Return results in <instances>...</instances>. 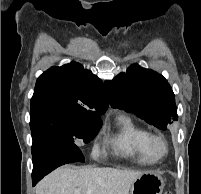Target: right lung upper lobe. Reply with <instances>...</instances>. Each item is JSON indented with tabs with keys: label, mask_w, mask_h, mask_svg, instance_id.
Masks as SVG:
<instances>
[{
	"label": "right lung upper lobe",
	"mask_w": 201,
	"mask_h": 194,
	"mask_svg": "<svg viewBox=\"0 0 201 194\" xmlns=\"http://www.w3.org/2000/svg\"><path fill=\"white\" fill-rule=\"evenodd\" d=\"M106 97L102 81L79 63L72 62L61 67L53 66L40 75L31 106L54 102L64 105L75 116L98 118L108 107Z\"/></svg>",
	"instance_id": "obj_1"
}]
</instances>
